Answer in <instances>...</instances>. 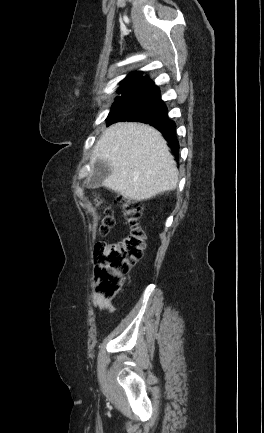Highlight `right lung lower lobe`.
Wrapping results in <instances>:
<instances>
[{
  "mask_svg": "<svg viewBox=\"0 0 264 433\" xmlns=\"http://www.w3.org/2000/svg\"><path fill=\"white\" fill-rule=\"evenodd\" d=\"M133 107H135L136 110L131 115L121 119H115L111 123L118 121H134L149 124L164 135L174 154L178 155L179 143L176 138V125L174 121L169 119L167 106L161 100L159 88L153 81H149L142 88L139 100L134 103Z\"/></svg>",
  "mask_w": 264,
  "mask_h": 433,
  "instance_id": "obj_1",
  "label": "right lung lower lobe"
}]
</instances>
